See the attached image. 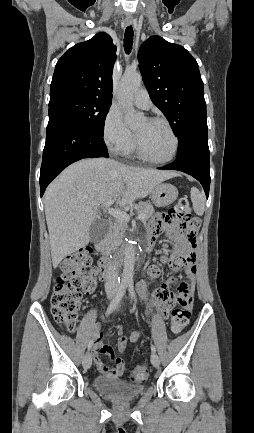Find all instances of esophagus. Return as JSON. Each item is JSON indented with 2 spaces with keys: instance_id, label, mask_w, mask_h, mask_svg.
Wrapping results in <instances>:
<instances>
[{
  "instance_id": "esophagus-1",
  "label": "esophagus",
  "mask_w": 254,
  "mask_h": 433,
  "mask_svg": "<svg viewBox=\"0 0 254 433\" xmlns=\"http://www.w3.org/2000/svg\"><path fill=\"white\" fill-rule=\"evenodd\" d=\"M132 23H133V19H132V18H126V20H125V24H126L127 26L131 25Z\"/></svg>"
}]
</instances>
